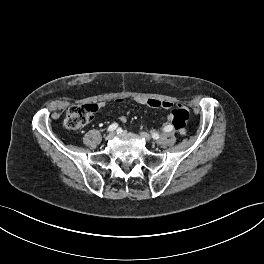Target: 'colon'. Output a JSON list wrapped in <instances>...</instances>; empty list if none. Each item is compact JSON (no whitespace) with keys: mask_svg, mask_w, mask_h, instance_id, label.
Segmentation results:
<instances>
[{"mask_svg":"<svg viewBox=\"0 0 264 264\" xmlns=\"http://www.w3.org/2000/svg\"><path fill=\"white\" fill-rule=\"evenodd\" d=\"M98 110L96 104H79L70 107L64 119V125L69 130H78L90 122L92 115ZM163 120L173 125L174 129L185 134L189 120L188 110L179 105L163 117Z\"/></svg>","mask_w":264,"mask_h":264,"instance_id":"obj_1","label":"colon"}]
</instances>
